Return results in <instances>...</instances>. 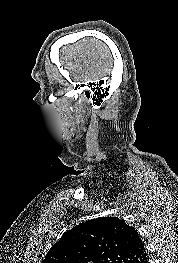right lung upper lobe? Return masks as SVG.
Wrapping results in <instances>:
<instances>
[{
	"label": "right lung upper lobe",
	"mask_w": 178,
	"mask_h": 263,
	"mask_svg": "<svg viewBox=\"0 0 178 263\" xmlns=\"http://www.w3.org/2000/svg\"><path fill=\"white\" fill-rule=\"evenodd\" d=\"M136 229L117 217L83 222L62 235L42 263H146Z\"/></svg>",
	"instance_id": "cb5924a9"
}]
</instances>
